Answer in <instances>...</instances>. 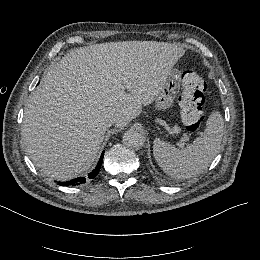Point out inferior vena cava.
Instances as JSON below:
<instances>
[{
	"mask_svg": "<svg viewBox=\"0 0 260 260\" xmlns=\"http://www.w3.org/2000/svg\"><path fill=\"white\" fill-rule=\"evenodd\" d=\"M107 122H108V126L110 127L111 125L116 123V118L115 117H109L107 119Z\"/></svg>",
	"mask_w": 260,
	"mask_h": 260,
	"instance_id": "inferior-vena-cava-1",
	"label": "inferior vena cava"
}]
</instances>
